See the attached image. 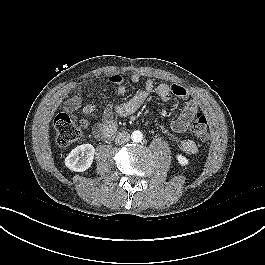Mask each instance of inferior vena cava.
<instances>
[{
  "instance_id": "1",
  "label": "inferior vena cava",
  "mask_w": 265,
  "mask_h": 265,
  "mask_svg": "<svg viewBox=\"0 0 265 265\" xmlns=\"http://www.w3.org/2000/svg\"><path fill=\"white\" fill-rule=\"evenodd\" d=\"M130 140V134L126 131L120 132L115 137V143L117 145L125 144Z\"/></svg>"
}]
</instances>
